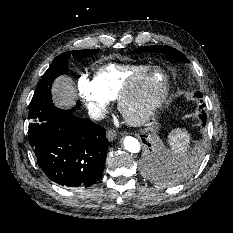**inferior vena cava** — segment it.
Returning <instances> with one entry per match:
<instances>
[{
  "label": "inferior vena cava",
  "mask_w": 233,
  "mask_h": 233,
  "mask_svg": "<svg viewBox=\"0 0 233 233\" xmlns=\"http://www.w3.org/2000/svg\"><path fill=\"white\" fill-rule=\"evenodd\" d=\"M89 115L92 119L102 120L105 117V112L100 107L96 106L89 112Z\"/></svg>",
  "instance_id": "inferior-vena-cava-1"
}]
</instances>
